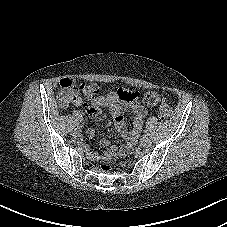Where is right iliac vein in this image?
<instances>
[{
    "label": "right iliac vein",
    "mask_w": 227,
    "mask_h": 227,
    "mask_svg": "<svg viewBox=\"0 0 227 227\" xmlns=\"http://www.w3.org/2000/svg\"><path fill=\"white\" fill-rule=\"evenodd\" d=\"M72 135L75 136V137H77V136L80 135V132H79L77 129H74V130L72 131Z\"/></svg>",
    "instance_id": "1"
}]
</instances>
